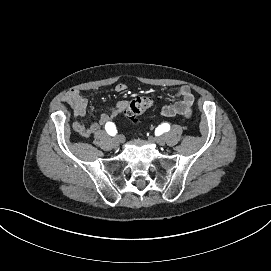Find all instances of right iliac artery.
Segmentation results:
<instances>
[{
  "label": "right iliac artery",
  "instance_id": "82829eb1",
  "mask_svg": "<svg viewBox=\"0 0 271 271\" xmlns=\"http://www.w3.org/2000/svg\"><path fill=\"white\" fill-rule=\"evenodd\" d=\"M107 133L111 136H115L117 133L116 126L113 122H107L105 125Z\"/></svg>",
  "mask_w": 271,
  "mask_h": 271
}]
</instances>
